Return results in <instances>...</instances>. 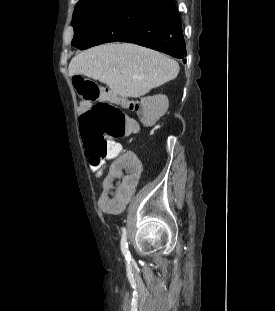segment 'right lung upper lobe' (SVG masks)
I'll return each mask as SVG.
<instances>
[{
	"mask_svg": "<svg viewBox=\"0 0 275 311\" xmlns=\"http://www.w3.org/2000/svg\"><path fill=\"white\" fill-rule=\"evenodd\" d=\"M80 1H84V0H80ZM153 1L161 2L162 5H164V4H167V3L171 2L172 0H153Z\"/></svg>",
	"mask_w": 275,
	"mask_h": 311,
	"instance_id": "1",
	"label": "right lung upper lobe"
}]
</instances>
